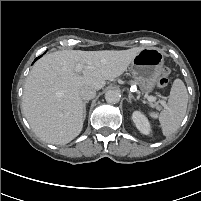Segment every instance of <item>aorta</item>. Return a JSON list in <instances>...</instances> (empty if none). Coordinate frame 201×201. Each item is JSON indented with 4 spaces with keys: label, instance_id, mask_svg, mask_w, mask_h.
I'll list each match as a JSON object with an SVG mask.
<instances>
[{
    "label": "aorta",
    "instance_id": "1",
    "mask_svg": "<svg viewBox=\"0 0 201 201\" xmlns=\"http://www.w3.org/2000/svg\"><path fill=\"white\" fill-rule=\"evenodd\" d=\"M105 99L111 104L118 103L120 101V93L116 90H108L105 93Z\"/></svg>",
    "mask_w": 201,
    "mask_h": 201
}]
</instances>
